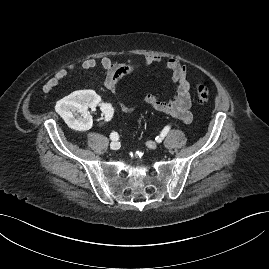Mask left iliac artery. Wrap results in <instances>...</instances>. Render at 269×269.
<instances>
[{"label":"left iliac artery","instance_id":"left-iliac-artery-1","mask_svg":"<svg viewBox=\"0 0 269 269\" xmlns=\"http://www.w3.org/2000/svg\"><path fill=\"white\" fill-rule=\"evenodd\" d=\"M169 130H170V126H166V127L162 130L160 136H157L155 140H156L157 142H161L162 139L167 135V133L169 132Z\"/></svg>","mask_w":269,"mask_h":269}]
</instances>
